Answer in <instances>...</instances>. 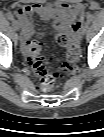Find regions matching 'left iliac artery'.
Masks as SVG:
<instances>
[{
	"label": "left iliac artery",
	"instance_id": "obj_1",
	"mask_svg": "<svg viewBox=\"0 0 104 137\" xmlns=\"http://www.w3.org/2000/svg\"><path fill=\"white\" fill-rule=\"evenodd\" d=\"M94 16L93 15H88L87 16V22L90 23L93 20Z\"/></svg>",
	"mask_w": 104,
	"mask_h": 137
}]
</instances>
